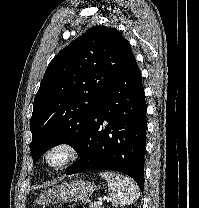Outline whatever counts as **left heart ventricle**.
Listing matches in <instances>:
<instances>
[{
	"instance_id": "left-heart-ventricle-1",
	"label": "left heart ventricle",
	"mask_w": 199,
	"mask_h": 208,
	"mask_svg": "<svg viewBox=\"0 0 199 208\" xmlns=\"http://www.w3.org/2000/svg\"><path fill=\"white\" fill-rule=\"evenodd\" d=\"M65 157H66V155L63 150H56L50 155L49 160L52 163H58V162L62 161Z\"/></svg>"
}]
</instances>
